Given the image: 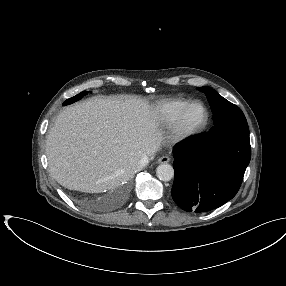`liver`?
Masks as SVG:
<instances>
[{
	"instance_id": "obj_1",
	"label": "liver",
	"mask_w": 286,
	"mask_h": 286,
	"mask_svg": "<svg viewBox=\"0 0 286 286\" xmlns=\"http://www.w3.org/2000/svg\"><path fill=\"white\" fill-rule=\"evenodd\" d=\"M154 114L134 96L93 97L65 108L46 141L52 177L62 186L100 193L120 186L162 143Z\"/></svg>"
}]
</instances>
